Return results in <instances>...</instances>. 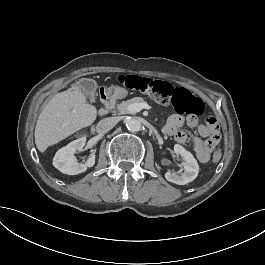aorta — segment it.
Listing matches in <instances>:
<instances>
[{
  "label": "aorta",
  "instance_id": "1",
  "mask_svg": "<svg viewBox=\"0 0 265 265\" xmlns=\"http://www.w3.org/2000/svg\"><path fill=\"white\" fill-rule=\"evenodd\" d=\"M126 126L129 131L137 132L141 129V121L138 117H132L127 120Z\"/></svg>",
  "mask_w": 265,
  "mask_h": 265
}]
</instances>
